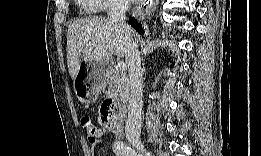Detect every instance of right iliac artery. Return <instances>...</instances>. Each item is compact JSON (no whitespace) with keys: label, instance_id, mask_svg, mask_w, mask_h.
<instances>
[{"label":"right iliac artery","instance_id":"right-iliac-artery-1","mask_svg":"<svg viewBox=\"0 0 261 156\" xmlns=\"http://www.w3.org/2000/svg\"><path fill=\"white\" fill-rule=\"evenodd\" d=\"M114 151L117 155H123V156H136L140 155L138 152H135L131 147L126 145L125 143L121 141H116L114 143Z\"/></svg>","mask_w":261,"mask_h":156}]
</instances>
